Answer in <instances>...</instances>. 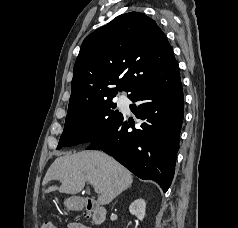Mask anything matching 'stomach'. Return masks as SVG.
<instances>
[{
	"instance_id": "1",
	"label": "stomach",
	"mask_w": 238,
	"mask_h": 228,
	"mask_svg": "<svg viewBox=\"0 0 238 228\" xmlns=\"http://www.w3.org/2000/svg\"><path fill=\"white\" fill-rule=\"evenodd\" d=\"M65 205L69 208V209H78L80 208V203L79 201L74 198V197H71V198H68L65 200Z\"/></svg>"
}]
</instances>
